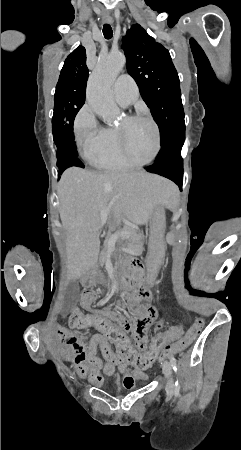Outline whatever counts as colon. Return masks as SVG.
I'll return each mask as SVG.
<instances>
[{
	"label": "colon",
	"instance_id": "5ec220e1",
	"mask_svg": "<svg viewBox=\"0 0 241 450\" xmlns=\"http://www.w3.org/2000/svg\"><path fill=\"white\" fill-rule=\"evenodd\" d=\"M69 326L80 329L96 328L106 336L114 349L127 359L128 366H136L137 371H150L153 364V356H157V362H166L167 354L177 355L182 353L187 347L193 345V341L200 333L204 321L202 318L195 320L188 332L183 338L178 340L174 345L166 343L169 337H174L178 329L183 327L181 322L177 324H168L167 328L159 331L158 335L154 337L149 343V350H134V347L129 343L121 330L116 327L109 319L99 313L82 314L80 310H75L69 317ZM166 343V344H165ZM164 345V350L160 355L154 353L160 350Z\"/></svg>",
	"mask_w": 241,
	"mask_h": 450
}]
</instances>
